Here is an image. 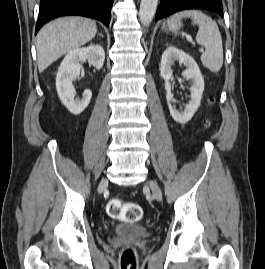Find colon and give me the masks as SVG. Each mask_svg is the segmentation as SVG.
<instances>
[{
  "instance_id": "5ec220e1",
  "label": "colon",
  "mask_w": 265,
  "mask_h": 269,
  "mask_svg": "<svg viewBox=\"0 0 265 269\" xmlns=\"http://www.w3.org/2000/svg\"><path fill=\"white\" fill-rule=\"evenodd\" d=\"M107 213L126 222H136L142 216L140 206L133 202H124L120 199H111L106 206ZM121 269H136V254L132 247H125L120 257Z\"/></svg>"
}]
</instances>
